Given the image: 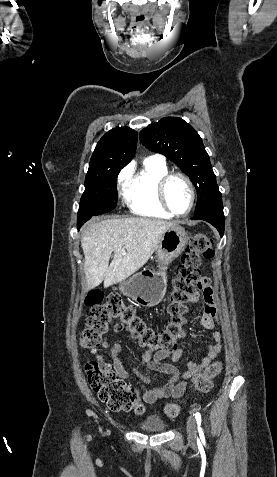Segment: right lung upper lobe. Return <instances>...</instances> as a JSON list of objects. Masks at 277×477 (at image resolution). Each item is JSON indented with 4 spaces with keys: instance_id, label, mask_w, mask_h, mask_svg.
Returning a JSON list of instances; mask_svg holds the SVG:
<instances>
[{
    "instance_id": "right-lung-upper-lobe-1",
    "label": "right lung upper lobe",
    "mask_w": 277,
    "mask_h": 477,
    "mask_svg": "<svg viewBox=\"0 0 277 477\" xmlns=\"http://www.w3.org/2000/svg\"><path fill=\"white\" fill-rule=\"evenodd\" d=\"M137 132L129 127L114 128L97 143L87 173L124 167L134 157Z\"/></svg>"
}]
</instances>
